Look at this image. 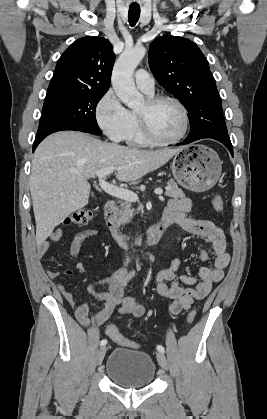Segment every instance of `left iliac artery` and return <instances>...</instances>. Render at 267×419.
Returning <instances> with one entry per match:
<instances>
[{
    "label": "left iliac artery",
    "mask_w": 267,
    "mask_h": 419,
    "mask_svg": "<svg viewBox=\"0 0 267 419\" xmlns=\"http://www.w3.org/2000/svg\"><path fill=\"white\" fill-rule=\"evenodd\" d=\"M157 350H158L159 352H162V353H164V352H165L164 347H163L162 345H158V346H157Z\"/></svg>",
    "instance_id": "1"
}]
</instances>
